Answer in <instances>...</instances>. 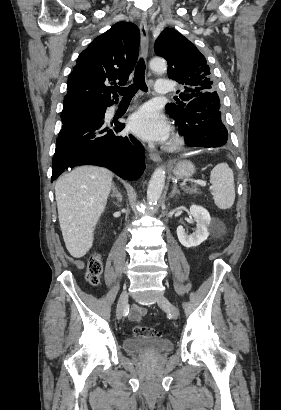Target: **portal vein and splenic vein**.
<instances>
[{
	"label": "portal vein and splenic vein",
	"mask_w": 281,
	"mask_h": 410,
	"mask_svg": "<svg viewBox=\"0 0 281 410\" xmlns=\"http://www.w3.org/2000/svg\"><path fill=\"white\" fill-rule=\"evenodd\" d=\"M192 182H194L195 184H198L200 186H206V182H204L202 180H193Z\"/></svg>",
	"instance_id": "obj_1"
}]
</instances>
